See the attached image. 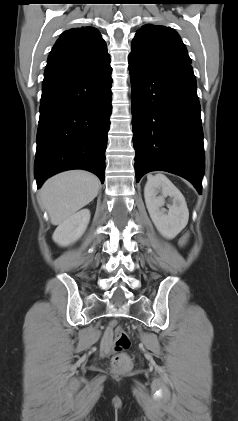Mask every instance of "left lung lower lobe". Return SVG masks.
I'll list each match as a JSON object with an SVG mask.
<instances>
[{
    "label": "left lung lower lobe",
    "mask_w": 238,
    "mask_h": 421,
    "mask_svg": "<svg viewBox=\"0 0 238 421\" xmlns=\"http://www.w3.org/2000/svg\"><path fill=\"white\" fill-rule=\"evenodd\" d=\"M137 182L151 171L189 180L201 194L203 131L190 62L148 64L129 55Z\"/></svg>",
    "instance_id": "obj_1"
}]
</instances>
